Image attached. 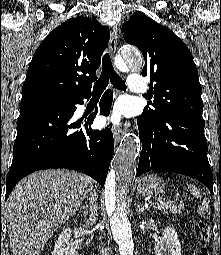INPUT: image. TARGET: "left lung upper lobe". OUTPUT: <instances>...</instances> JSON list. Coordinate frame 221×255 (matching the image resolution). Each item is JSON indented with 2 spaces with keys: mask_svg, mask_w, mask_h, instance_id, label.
<instances>
[{
  "mask_svg": "<svg viewBox=\"0 0 221 255\" xmlns=\"http://www.w3.org/2000/svg\"><path fill=\"white\" fill-rule=\"evenodd\" d=\"M122 31L125 41L141 50L145 59L142 76L151 79L154 100L144 107L143 115L158 120L181 113L203 121L202 88L188 47L170 29L144 14L133 15Z\"/></svg>",
  "mask_w": 221,
  "mask_h": 255,
  "instance_id": "1",
  "label": "left lung upper lobe"
}]
</instances>
